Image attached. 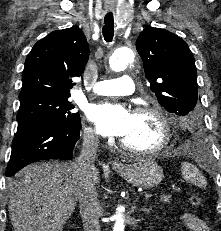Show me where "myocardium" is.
Instances as JSON below:
<instances>
[{"mask_svg":"<svg viewBox=\"0 0 221 231\" xmlns=\"http://www.w3.org/2000/svg\"><path fill=\"white\" fill-rule=\"evenodd\" d=\"M134 114H147L154 116L162 127V139L157 146L146 149L133 147L121 139L119 144L124 150L133 154L156 155L163 152L171 145L173 138L172 125L170 118L162 109L152 105H141L134 110Z\"/></svg>","mask_w":221,"mask_h":231,"instance_id":"1","label":"myocardium"}]
</instances>
